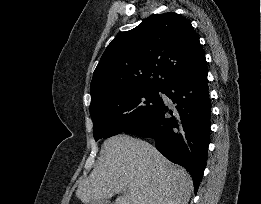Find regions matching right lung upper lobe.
Wrapping results in <instances>:
<instances>
[{
    "label": "right lung upper lobe",
    "mask_w": 261,
    "mask_h": 204,
    "mask_svg": "<svg viewBox=\"0 0 261 204\" xmlns=\"http://www.w3.org/2000/svg\"><path fill=\"white\" fill-rule=\"evenodd\" d=\"M204 58L188 20L173 12L154 15L107 46L93 73L90 107L121 91H162Z\"/></svg>",
    "instance_id": "right-lung-upper-lobe-1"
}]
</instances>
